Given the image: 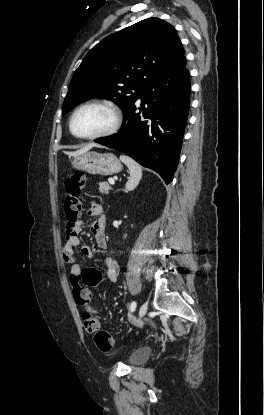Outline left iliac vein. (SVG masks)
<instances>
[{"instance_id": "obj_1", "label": "left iliac vein", "mask_w": 264, "mask_h": 415, "mask_svg": "<svg viewBox=\"0 0 264 415\" xmlns=\"http://www.w3.org/2000/svg\"><path fill=\"white\" fill-rule=\"evenodd\" d=\"M148 310V305L147 303H143L140 308H139V316H138V321H140L146 314Z\"/></svg>"}]
</instances>
